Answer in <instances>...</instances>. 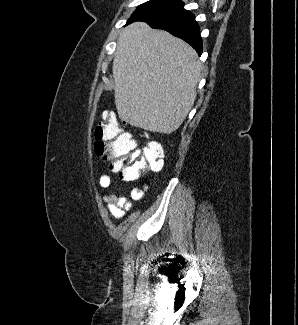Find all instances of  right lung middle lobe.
<instances>
[{
	"label": "right lung middle lobe",
	"mask_w": 298,
	"mask_h": 325,
	"mask_svg": "<svg viewBox=\"0 0 298 325\" xmlns=\"http://www.w3.org/2000/svg\"><path fill=\"white\" fill-rule=\"evenodd\" d=\"M180 0H151L141 4L129 20H149L176 12L183 8Z\"/></svg>",
	"instance_id": "dd1d6c3e"
}]
</instances>
